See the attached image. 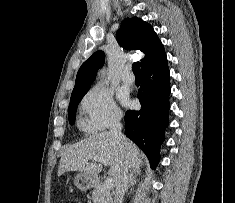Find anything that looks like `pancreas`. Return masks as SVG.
Instances as JSON below:
<instances>
[{
  "label": "pancreas",
  "mask_w": 235,
  "mask_h": 203,
  "mask_svg": "<svg viewBox=\"0 0 235 203\" xmlns=\"http://www.w3.org/2000/svg\"><path fill=\"white\" fill-rule=\"evenodd\" d=\"M92 200L94 203H112V195L102 183H99L94 187Z\"/></svg>",
  "instance_id": "obj_1"
}]
</instances>
